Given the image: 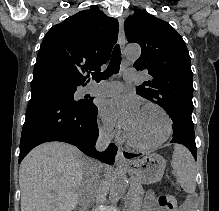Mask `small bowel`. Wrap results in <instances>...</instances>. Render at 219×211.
Listing matches in <instances>:
<instances>
[{
    "label": "small bowel",
    "mask_w": 219,
    "mask_h": 211,
    "mask_svg": "<svg viewBox=\"0 0 219 211\" xmlns=\"http://www.w3.org/2000/svg\"><path fill=\"white\" fill-rule=\"evenodd\" d=\"M194 206V199L189 197L181 207L180 211H194ZM143 211H162V209L158 207L154 193L149 192L146 195Z\"/></svg>",
    "instance_id": "c3829d8e"
}]
</instances>
